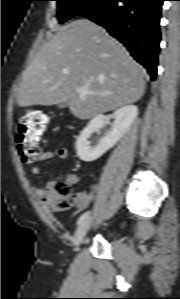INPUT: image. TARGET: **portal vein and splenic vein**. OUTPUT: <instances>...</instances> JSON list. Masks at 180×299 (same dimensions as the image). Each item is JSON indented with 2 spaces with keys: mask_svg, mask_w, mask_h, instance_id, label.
Segmentation results:
<instances>
[{
  "mask_svg": "<svg viewBox=\"0 0 180 299\" xmlns=\"http://www.w3.org/2000/svg\"><path fill=\"white\" fill-rule=\"evenodd\" d=\"M76 93L79 94V95H81V96H84V95H87V94H90V95L100 94L98 92L90 91L87 87L77 88L76 89ZM103 94H105V95H112L111 92H104Z\"/></svg>",
  "mask_w": 180,
  "mask_h": 299,
  "instance_id": "18ae733b",
  "label": "portal vein and splenic vein"
}]
</instances>
